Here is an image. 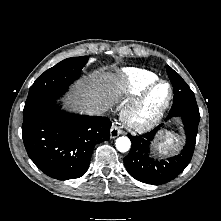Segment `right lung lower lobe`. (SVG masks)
<instances>
[{
  "mask_svg": "<svg viewBox=\"0 0 221 221\" xmlns=\"http://www.w3.org/2000/svg\"><path fill=\"white\" fill-rule=\"evenodd\" d=\"M107 117L65 112L53 102L23 120L22 138L34 164L59 179L81 177L97 143L110 138Z\"/></svg>",
  "mask_w": 221,
  "mask_h": 221,
  "instance_id": "1",
  "label": "right lung lower lobe"
}]
</instances>
